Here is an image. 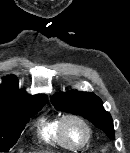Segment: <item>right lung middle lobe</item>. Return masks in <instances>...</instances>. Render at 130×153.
<instances>
[{
    "mask_svg": "<svg viewBox=\"0 0 130 153\" xmlns=\"http://www.w3.org/2000/svg\"><path fill=\"white\" fill-rule=\"evenodd\" d=\"M45 103H35L18 111H0V152H8L15 145L26 123Z\"/></svg>",
    "mask_w": 130,
    "mask_h": 153,
    "instance_id": "dd1d6c3e",
    "label": "right lung middle lobe"
}]
</instances>
